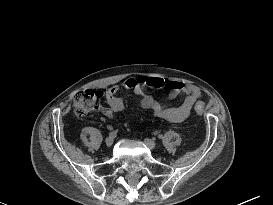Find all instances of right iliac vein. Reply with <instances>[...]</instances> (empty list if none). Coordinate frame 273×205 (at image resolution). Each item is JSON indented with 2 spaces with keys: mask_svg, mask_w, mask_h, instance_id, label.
<instances>
[{
  "mask_svg": "<svg viewBox=\"0 0 273 205\" xmlns=\"http://www.w3.org/2000/svg\"><path fill=\"white\" fill-rule=\"evenodd\" d=\"M113 142H114V137H112V136H109V137H107V138L105 139V143H106V145H107L108 147H111L112 144H113Z\"/></svg>",
  "mask_w": 273,
  "mask_h": 205,
  "instance_id": "63e3f726",
  "label": "right iliac vein"
}]
</instances>
